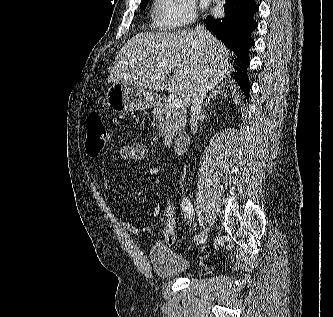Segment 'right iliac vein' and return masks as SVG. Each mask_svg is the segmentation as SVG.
I'll return each instance as SVG.
<instances>
[{"instance_id": "obj_1", "label": "right iliac vein", "mask_w": 333, "mask_h": 317, "mask_svg": "<svg viewBox=\"0 0 333 317\" xmlns=\"http://www.w3.org/2000/svg\"><path fill=\"white\" fill-rule=\"evenodd\" d=\"M206 239H207V231L204 229L199 235V239L196 242L197 244H202L206 241Z\"/></svg>"}]
</instances>
